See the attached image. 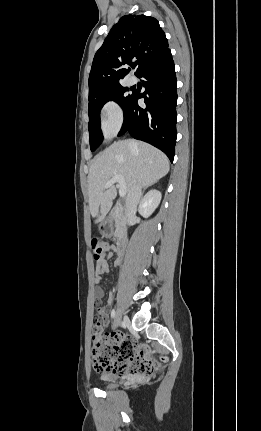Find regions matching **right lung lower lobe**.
I'll use <instances>...</instances> for the list:
<instances>
[{
    "instance_id": "1",
    "label": "right lung lower lobe",
    "mask_w": 261,
    "mask_h": 431,
    "mask_svg": "<svg viewBox=\"0 0 261 431\" xmlns=\"http://www.w3.org/2000/svg\"><path fill=\"white\" fill-rule=\"evenodd\" d=\"M144 78L145 91L133 92L123 110L124 122L119 136L132 137L162 150L173 162L176 144L177 80L169 48L148 62L137 74ZM144 98L145 107L138 99Z\"/></svg>"
}]
</instances>
